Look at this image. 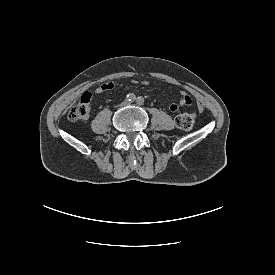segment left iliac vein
I'll use <instances>...</instances> for the list:
<instances>
[{
    "mask_svg": "<svg viewBox=\"0 0 275 275\" xmlns=\"http://www.w3.org/2000/svg\"><path fill=\"white\" fill-rule=\"evenodd\" d=\"M126 104H129V102H128V101H126Z\"/></svg>",
    "mask_w": 275,
    "mask_h": 275,
    "instance_id": "1",
    "label": "left iliac vein"
}]
</instances>
